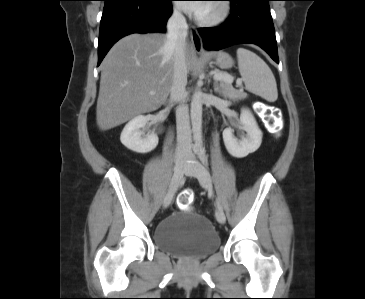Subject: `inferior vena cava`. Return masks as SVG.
I'll return each instance as SVG.
<instances>
[{
  "instance_id": "602c4592",
  "label": "inferior vena cava",
  "mask_w": 365,
  "mask_h": 299,
  "mask_svg": "<svg viewBox=\"0 0 365 299\" xmlns=\"http://www.w3.org/2000/svg\"><path fill=\"white\" fill-rule=\"evenodd\" d=\"M169 44L174 48V69L173 82L170 90V101H179L176 109L177 124V149L176 156L181 158L189 153L190 147V121L189 110L185 104L186 84H187V65L185 60V46L188 29L186 19L183 14L174 10L167 23Z\"/></svg>"
}]
</instances>
